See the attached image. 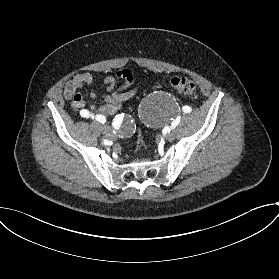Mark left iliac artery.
I'll list each match as a JSON object with an SVG mask.
<instances>
[{
  "label": "left iliac artery",
  "instance_id": "1",
  "mask_svg": "<svg viewBox=\"0 0 279 279\" xmlns=\"http://www.w3.org/2000/svg\"><path fill=\"white\" fill-rule=\"evenodd\" d=\"M182 110H183V112H185V113H190L191 112V107H189V106H184L183 108H182ZM174 127H173V129L176 127V125H173ZM170 132V131H169Z\"/></svg>",
  "mask_w": 279,
  "mask_h": 279
}]
</instances>
